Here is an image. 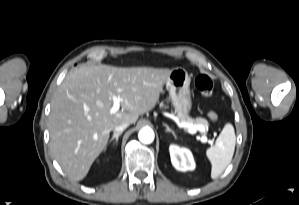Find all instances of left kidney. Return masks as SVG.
<instances>
[{
    "label": "left kidney",
    "instance_id": "1",
    "mask_svg": "<svg viewBox=\"0 0 299 205\" xmlns=\"http://www.w3.org/2000/svg\"><path fill=\"white\" fill-rule=\"evenodd\" d=\"M169 151L171 162L177 170L184 172L195 168L192 153L187 148H182L172 144L169 147Z\"/></svg>",
    "mask_w": 299,
    "mask_h": 205
}]
</instances>
